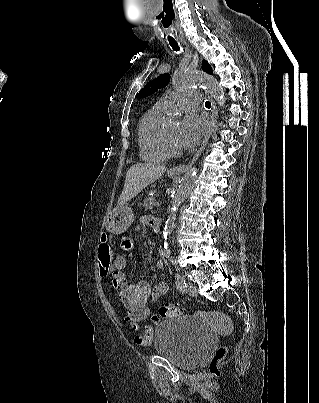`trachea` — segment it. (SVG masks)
I'll return each instance as SVG.
<instances>
[{"mask_svg":"<svg viewBox=\"0 0 319 403\" xmlns=\"http://www.w3.org/2000/svg\"><path fill=\"white\" fill-rule=\"evenodd\" d=\"M170 25H171V22H169V21L163 22V26L168 32L167 39L169 41L170 46L173 48V50L179 51L180 47H179L177 41L175 40L174 36L172 35V33L169 31ZM205 106H206V108H210L211 103L209 101H207V102H205Z\"/></svg>","mask_w":319,"mask_h":403,"instance_id":"1","label":"trachea"}]
</instances>
